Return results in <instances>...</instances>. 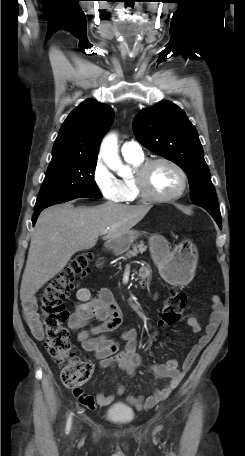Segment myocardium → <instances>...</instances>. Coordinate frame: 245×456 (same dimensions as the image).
Listing matches in <instances>:
<instances>
[{
	"label": "myocardium",
	"instance_id": "obj_1",
	"mask_svg": "<svg viewBox=\"0 0 245 456\" xmlns=\"http://www.w3.org/2000/svg\"><path fill=\"white\" fill-rule=\"evenodd\" d=\"M158 163H164L169 166H171L173 169L177 171V173L180 176L181 180V185L179 189L167 196H160L154 194L149 186V173L150 170L152 169L153 166H155ZM134 181L137 186V189L139 191L140 196L147 201L151 202H169L176 200L180 198L186 191L187 188V175L185 171L182 169L180 165H178L176 162L173 160H170L168 158L164 157H159V158H153V159H148L145 160L143 163H141L135 170V175H134Z\"/></svg>",
	"mask_w": 245,
	"mask_h": 456
}]
</instances>
